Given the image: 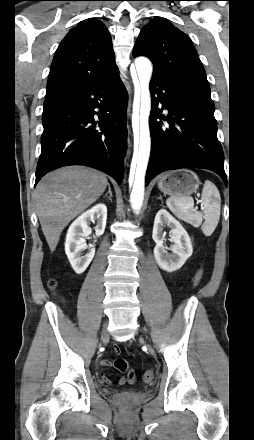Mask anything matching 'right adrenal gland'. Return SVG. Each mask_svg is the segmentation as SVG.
I'll return each instance as SVG.
<instances>
[{
	"instance_id": "right-adrenal-gland-1",
	"label": "right adrenal gland",
	"mask_w": 254,
	"mask_h": 440,
	"mask_svg": "<svg viewBox=\"0 0 254 440\" xmlns=\"http://www.w3.org/2000/svg\"><path fill=\"white\" fill-rule=\"evenodd\" d=\"M109 194V199L112 201V191H111V187L110 184L108 183V192L104 195V197H107V195Z\"/></svg>"
}]
</instances>
